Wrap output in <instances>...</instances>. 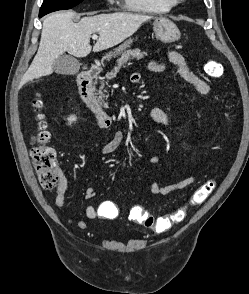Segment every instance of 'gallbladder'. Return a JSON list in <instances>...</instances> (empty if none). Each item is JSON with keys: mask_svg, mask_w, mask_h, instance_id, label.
Instances as JSON below:
<instances>
[{"mask_svg": "<svg viewBox=\"0 0 249 294\" xmlns=\"http://www.w3.org/2000/svg\"><path fill=\"white\" fill-rule=\"evenodd\" d=\"M81 64L71 55H60L54 63L53 69L57 74L73 75L78 73Z\"/></svg>", "mask_w": 249, "mask_h": 294, "instance_id": "bac80fb5", "label": "gallbladder"}]
</instances>
